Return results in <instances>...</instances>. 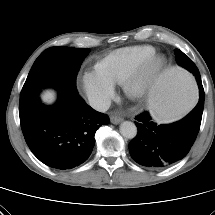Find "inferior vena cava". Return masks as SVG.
<instances>
[{
	"label": "inferior vena cava",
	"instance_id": "1",
	"mask_svg": "<svg viewBox=\"0 0 215 215\" xmlns=\"http://www.w3.org/2000/svg\"><path fill=\"white\" fill-rule=\"evenodd\" d=\"M90 105L99 112H105L109 109L111 100L109 98H92Z\"/></svg>",
	"mask_w": 215,
	"mask_h": 215
}]
</instances>
